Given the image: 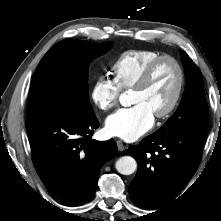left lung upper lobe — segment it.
Masks as SVG:
<instances>
[{
    "mask_svg": "<svg viewBox=\"0 0 221 221\" xmlns=\"http://www.w3.org/2000/svg\"><path fill=\"white\" fill-rule=\"evenodd\" d=\"M181 58L187 74L186 90L177 111L154 134L189 132L206 136L208 106L201 72L186 52L181 51Z\"/></svg>",
    "mask_w": 221,
    "mask_h": 221,
    "instance_id": "5c2ea615",
    "label": "left lung upper lobe"
}]
</instances>
